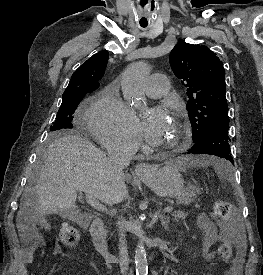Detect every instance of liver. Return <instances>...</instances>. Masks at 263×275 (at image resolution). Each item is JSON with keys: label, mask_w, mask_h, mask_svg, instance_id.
Masks as SVG:
<instances>
[{"label": "liver", "mask_w": 263, "mask_h": 275, "mask_svg": "<svg viewBox=\"0 0 263 275\" xmlns=\"http://www.w3.org/2000/svg\"><path fill=\"white\" fill-rule=\"evenodd\" d=\"M189 157L176 161L182 162ZM84 191L105 204L120 203L128 191L117 178L106 154L76 134L57 136L47 147L35 187L23 193L17 226L24 219L36 220L48 214L71 211L77 192ZM74 217V213L70 215Z\"/></svg>", "instance_id": "obj_1"}]
</instances>
